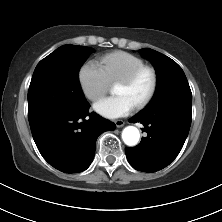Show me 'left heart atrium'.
I'll return each instance as SVG.
<instances>
[{
	"label": "left heart atrium",
	"instance_id": "1",
	"mask_svg": "<svg viewBox=\"0 0 222 222\" xmlns=\"http://www.w3.org/2000/svg\"><path fill=\"white\" fill-rule=\"evenodd\" d=\"M136 105L125 95L104 97L94 104V110L109 119L121 118L129 115Z\"/></svg>",
	"mask_w": 222,
	"mask_h": 222
}]
</instances>
